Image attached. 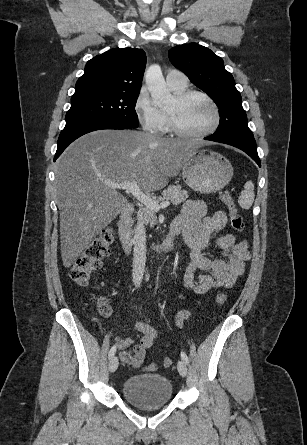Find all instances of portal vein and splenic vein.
Segmentation results:
<instances>
[{
    "instance_id": "portal-vein-and-splenic-vein-1",
    "label": "portal vein and splenic vein",
    "mask_w": 307,
    "mask_h": 445,
    "mask_svg": "<svg viewBox=\"0 0 307 445\" xmlns=\"http://www.w3.org/2000/svg\"><path fill=\"white\" fill-rule=\"evenodd\" d=\"M106 184L113 186V188H125V190H129L133 196H136L137 200H140L142 204H145L148 208H152V210H160V208H166V206L170 204L169 200L157 202V200L150 198L149 194H145V192L139 188L137 180H131V182H106Z\"/></svg>"
}]
</instances>
